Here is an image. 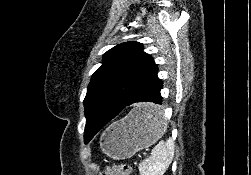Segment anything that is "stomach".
I'll return each instance as SVG.
<instances>
[{
    "label": "stomach",
    "mask_w": 251,
    "mask_h": 175,
    "mask_svg": "<svg viewBox=\"0 0 251 175\" xmlns=\"http://www.w3.org/2000/svg\"><path fill=\"white\" fill-rule=\"evenodd\" d=\"M150 111H164V106L134 107L125 117L108 125L100 137L103 153L112 159H129L136 151L155 143L161 135L171 134V129H159L168 128L165 118Z\"/></svg>",
    "instance_id": "obj_1"
}]
</instances>
